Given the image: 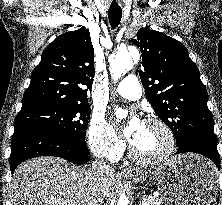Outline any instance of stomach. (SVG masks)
<instances>
[{
    "mask_svg": "<svg viewBox=\"0 0 222 205\" xmlns=\"http://www.w3.org/2000/svg\"><path fill=\"white\" fill-rule=\"evenodd\" d=\"M156 181L165 205H210L217 192V171L211 162L194 155L172 157L149 174L135 175L141 182Z\"/></svg>",
    "mask_w": 222,
    "mask_h": 205,
    "instance_id": "0dacf381",
    "label": "stomach"
}]
</instances>
